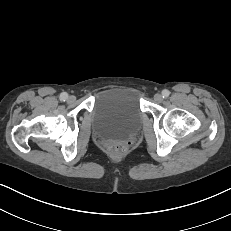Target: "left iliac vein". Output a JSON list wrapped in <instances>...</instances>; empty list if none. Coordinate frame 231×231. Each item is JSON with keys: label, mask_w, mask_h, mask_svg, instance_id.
<instances>
[{"label": "left iliac vein", "mask_w": 231, "mask_h": 231, "mask_svg": "<svg viewBox=\"0 0 231 231\" xmlns=\"http://www.w3.org/2000/svg\"><path fill=\"white\" fill-rule=\"evenodd\" d=\"M154 100H155L156 102H161V101L163 100V96H162L161 94H159V93H156V94L154 95Z\"/></svg>", "instance_id": "left-iliac-vein-1"}]
</instances>
